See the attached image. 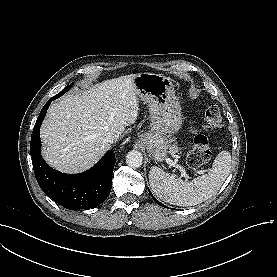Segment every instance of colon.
<instances>
[{
    "mask_svg": "<svg viewBox=\"0 0 277 277\" xmlns=\"http://www.w3.org/2000/svg\"><path fill=\"white\" fill-rule=\"evenodd\" d=\"M223 125L220 109L215 104H208L204 126L193 140L187 155V163L192 168H199L210 160V138L215 130Z\"/></svg>",
    "mask_w": 277,
    "mask_h": 277,
    "instance_id": "5ec220e1",
    "label": "colon"
}]
</instances>
